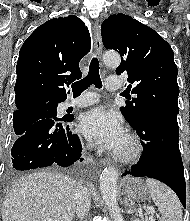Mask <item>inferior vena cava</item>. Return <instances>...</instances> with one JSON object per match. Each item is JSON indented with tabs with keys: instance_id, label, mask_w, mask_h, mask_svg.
I'll list each match as a JSON object with an SVG mask.
<instances>
[{
	"instance_id": "602c4592",
	"label": "inferior vena cava",
	"mask_w": 190,
	"mask_h": 221,
	"mask_svg": "<svg viewBox=\"0 0 190 221\" xmlns=\"http://www.w3.org/2000/svg\"><path fill=\"white\" fill-rule=\"evenodd\" d=\"M76 198V213L77 217L80 218L81 221H84L86 218L91 204V197L89 190L85 187L78 186L75 192Z\"/></svg>"
}]
</instances>
